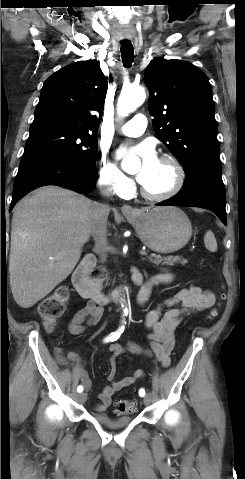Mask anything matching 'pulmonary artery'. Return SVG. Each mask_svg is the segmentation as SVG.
Returning a JSON list of instances; mask_svg holds the SVG:
<instances>
[{
    "label": "pulmonary artery",
    "instance_id": "1",
    "mask_svg": "<svg viewBox=\"0 0 245 479\" xmlns=\"http://www.w3.org/2000/svg\"><path fill=\"white\" fill-rule=\"evenodd\" d=\"M147 126V119L143 114H136L132 119L121 127V132L127 136L136 137L141 135Z\"/></svg>",
    "mask_w": 245,
    "mask_h": 479
}]
</instances>
